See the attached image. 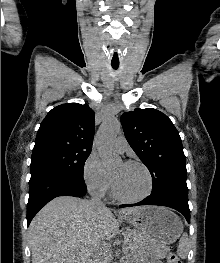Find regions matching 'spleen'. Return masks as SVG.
<instances>
[{"instance_id":"obj_1","label":"spleen","mask_w":220,"mask_h":263,"mask_svg":"<svg viewBox=\"0 0 220 263\" xmlns=\"http://www.w3.org/2000/svg\"><path fill=\"white\" fill-rule=\"evenodd\" d=\"M188 252V235L185 233L180 238L177 253L180 257L185 258Z\"/></svg>"}]
</instances>
